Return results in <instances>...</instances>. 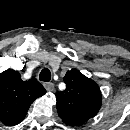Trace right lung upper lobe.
I'll return each instance as SVG.
<instances>
[{"label":"right lung upper lobe","instance_id":"right-lung-upper-lobe-1","mask_svg":"<svg viewBox=\"0 0 130 130\" xmlns=\"http://www.w3.org/2000/svg\"><path fill=\"white\" fill-rule=\"evenodd\" d=\"M46 93L35 79L23 81L19 72L6 70L0 74V122L7 126L19 124L35 99Z\"/></svg>","mask_w":130,"mask_h":130}]
</instances>
